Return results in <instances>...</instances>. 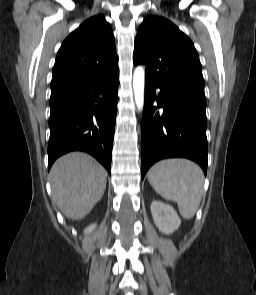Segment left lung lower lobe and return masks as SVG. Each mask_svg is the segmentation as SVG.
<instances>
[{
    "mask_svg": "<svg viewBox=\"0 0 256 295\" xmlns=\"http://www.w3.org/2000/svg\"><path fill=\"white\" fill-rule=\"evenodd\" d=\"M160 88L158 96L155 89ZM157 101L158 106H153ZM163 108V113L158 108ZM206 103L185 98L145 79L142 117V174L155 162L184 157L197 162L207 172Z\"/></svg>",
    "mask_w": 256,
    "mask_h": 295,
    "instance_id": "obj_1",
    "label": "left lung lower lobe"
}]
</instances>
